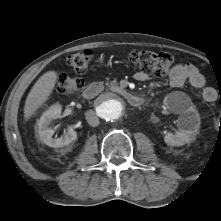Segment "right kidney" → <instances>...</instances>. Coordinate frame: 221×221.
I'll return each instance as SVG.
<instances>
[{"label":"right kidney","instance_id":"obj_1","mask_svg":"<svg viewBox=\"0 0 221 221\" xmlns=\"http://www.w3.org/2000/svg\"><path fill=\"white\" fill-rule=\"evenodd\" d=\"M61 111V105H52L42 114L35 126V131L41 142L53 148L67 146L77 139L76 131L71 128L67 129L64 136L60 138H52L54 130L49 125L53 120L61 117Z\"/></svg>","mask_w":221,"mask_h":221}]
</instances>
